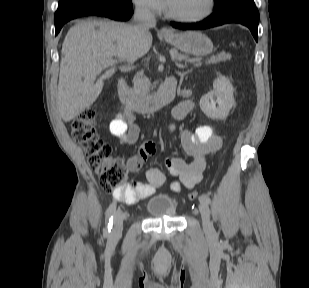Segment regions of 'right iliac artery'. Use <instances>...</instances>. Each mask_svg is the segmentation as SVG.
<instances>
[{"label":"right iliac artery","instance_id":"obj_1","mask_svg":"<svg viewBox=\"0 0 309 288\" xmlns=\"http://www.w3.org/2000/svg\"><path fill=\"white\" fill-rule=\"evenodd\" d=\"M116 210V204L113 202L110 204L106 211V227H105V233L109 234L112 229V223H113V216Z\"/></svg>","mask_w":309,"mask_h":288}]
</instances>
